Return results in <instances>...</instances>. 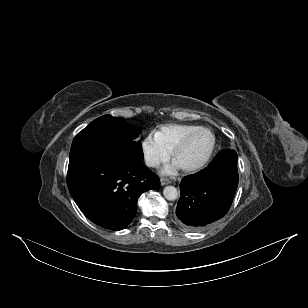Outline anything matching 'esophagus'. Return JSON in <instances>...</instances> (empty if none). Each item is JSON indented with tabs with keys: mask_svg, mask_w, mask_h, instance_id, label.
Segmentation results:
<instances>
[{
	"mask_svg": "<svg viewBox=\"0 0 308 308\" xmlns=\"http://www.w3.org/2000/svg\"><path fill=\"white\" fill-rule=\"evenodd\" d=\"M160 182H161V185H163V186L171 183V181L167 178H161Z\"/></svg>",
	"mask_w": 308,
	"mask_h": 308,
	"instance_id": "obj_1",
	"label": "esophagus"
}]
</instances>
